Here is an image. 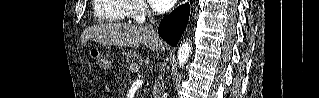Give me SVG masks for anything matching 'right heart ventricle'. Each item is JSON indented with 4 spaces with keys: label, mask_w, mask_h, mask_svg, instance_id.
Here are the masks:
<instances>
[{
    "label": "right heart ventricle",
    "mask_w": 319,
    "mask_h": 98,
    "mask_svg": "<svg viewBox=\"0 0 319 98\" xmlns=\"http://www.w3.org/2000/svg\"><path fill=\"white\" fill-rule=\"evenodd\" d=\"M132 9L131 1L95 0L94 14L101 22H120L130 17Z\"/></svg>",
    "instance_id": "obj_1"
}]
</instances>
